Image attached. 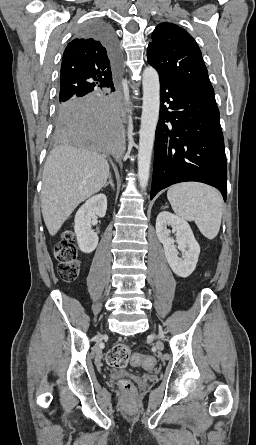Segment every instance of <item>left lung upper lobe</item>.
Listing matches in <instances>:
<instances>
[{"label": "left lung upper lobe", "mask_w": 256, "mask_h": 445, "mask_svg": "<svg viewBox=\"0 0 256 445\" xmlns=\"http://www.w3.org/2000/svg\"><path fill=\"white\" fill-rule=\"evenodd\" d=\"M148 62L159 77L179 83L208 95H214L201 51L193 37L171 23L159 24L148 45Z\"/></svg>", "instance_id": "obj_1"}]
</instances>
